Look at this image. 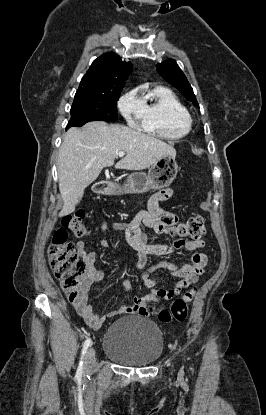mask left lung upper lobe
<instances>
[{
    "instance_id": "1",
    "label": "left lung upper lobe",
    "mask_w": 266,
    "mask_h": 415,
    "mask_svg": "<svg viewBox=\"0 0 266 415\" xmlns=\"http://www.w3.org/2000/svg\"><path fill=\"white\" fill-rule=\"evenodd\" d=\"M156 69L168 83L176 87L187 100L192 101L199 108L193 89L175 60L168 59L157 64Z\"/></svg>"
}]
</instances>
